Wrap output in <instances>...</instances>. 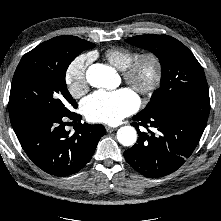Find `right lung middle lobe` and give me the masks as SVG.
I'll use <instances>...</instances> for the list:
<instances>
[{"label": "right lung middle lobe", "instance_id": "right-lung-middle-lobe-1", "mask_svg": "<svg viewBox=\"0 0 221 221\" xmlns=\"http://www.w3.org/2000/svg\"><path fill=\"white\" fill-rule=\"evenodd\" d=\"M74 36L52 38L26 53L12 79L10 120L29 113L68 115L77 108L65 82L69 64L83 50L94 48Z\"/></svg>", "mask_w": 221, "mask_h": 221}]
</instances>
